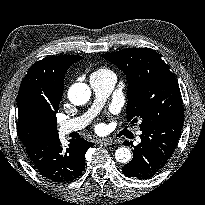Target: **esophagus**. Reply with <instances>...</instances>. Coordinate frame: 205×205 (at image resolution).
Masks as SVG:
<instances>
[{
	"label": "esophagus",
	"instance_id": "1",
	"mask_svg": "<svg viewBox=\"0 0 205 205\" xmlns=\"http://www.w3.org/2000/svg\"><path fill=\"white\" fill-rule=\"evenodd\" d=\"M99 143L103 144V145H106V146H110V145H114L116 143V141L115 140L104 139V140H100Z\"/></svg>",
	"mask_w": 205,
	"mask_h": 205
}]
</instances>
